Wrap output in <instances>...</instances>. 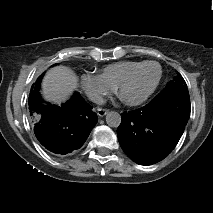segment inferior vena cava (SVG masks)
I'll list each match as a JSON object with an SVG mask.
<instances>
[{"mask_svg": "<svg viewBox=\"0 0 213 213\" xmlns=\"http://www.w3.org/2000/svg\"><path fill=\"white\" fill-rule=\"evenodd\" d=\"M89 99L95 103V104H98V105H102L106 102V100L103 98L102 95H99V94H91L89 96Z\"/></svg>", "mask_w": 213, "mask_h": 213, "instance_id": "602c4592", "label": "inferior vena cava"}]
</instances>
